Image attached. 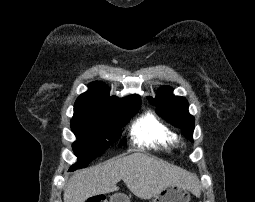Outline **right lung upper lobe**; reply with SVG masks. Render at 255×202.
I'll return each instance as SVG.
<instances>
[{
  "instance_id": "right-lung-upper-lobe-1",
  "label": "right lung upper lobe",
  "mask_w": 255,
  "mask_h": 202,
  "mask_svg": "<svg viewBox=\"0 0 255 202\" xmlns=\"http://www.w3.org/2000/svg\"><path fill=\"white\" fill-rule=\"evenodd\" d=\"M88 87L74 104V117L106 116L141 103L138 95L123 99L110 96L108 87L101 81L92 82Z\"/></svg>"
}]
</instances>
